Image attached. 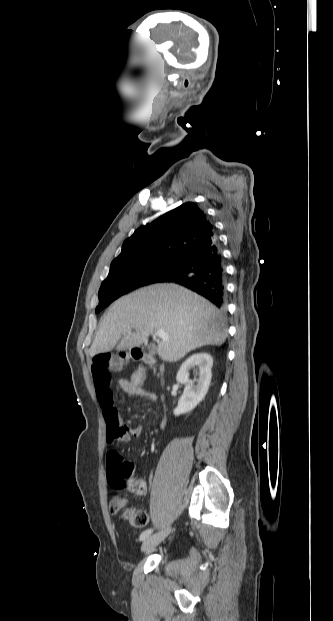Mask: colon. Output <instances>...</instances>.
<instances>
[{
	"mask_svg": "<svg viewBox=\"0 0 333 621\" xmlns=\"http://www.w3.org/2000/svg\"><path fill=\"white\" fill-rule=\"evenodd\" d=\"M145 379V370L140 369L134 373V375L126 380L127 388L130 392H136ZM109 483L111 487L117 492H124L131 488V469L128 467L124 468H116L108 473ZM126 506V500L121 497H115L110 502V512L112 514L119 513ZM123 517L130 523V525L141 528L147 525L149 521V517L147 513L143 510L129 509L126 508L123 512Z\"/></svg>",
	"mask_w": 333,
	"mask_h": 621,
	"instance_id": "obj_1",
	"label": "colon"
}]
</instances>
